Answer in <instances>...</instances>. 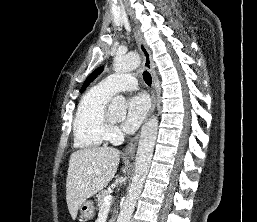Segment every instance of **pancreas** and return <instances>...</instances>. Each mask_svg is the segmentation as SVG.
Returning a JSON list of instances; mask_svg holds the SVG:
<instances>
[{
    "label": "pancreas",
    "mask_w": 257,
    "mask_h": 222,
    "mask_svg": "<svg viewBox=\"0 0 257 222\" xmlns=\"http://www.w3.org/2000/svg\"><path fill=\"white\" fill-rule=\"evenodd\" d=\"M107 195H110V191H109V190H103V191H101L100 193H98L96 202H97V206L99 207V209L102 207V205H103V203H104V198H105ZM113 219H114V218L112 217V220H110V222H114Z\"/></svg>",
    "instance_id": "1"
}]
</instances>
